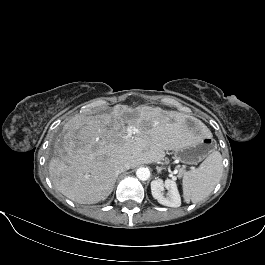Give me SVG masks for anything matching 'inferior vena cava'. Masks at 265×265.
<instances>
[{
	"instance_id": "inferior-vena-cava-1",
	"label": "inferior vena cava",
	"mask_w": 265,
	"mask_h": 265,
	"mask_svg": "<svg viewBox=\"0 0 265 265\" xmlns=\"http://www.w3.org/2000/svg\"><path fill=\"white\" fill-rule=\"evenodd\" d=\"M131 168V164L129 162H124V163H121L120 165H118L117 167V173H122L128 169Z\"/></svg>"
}]
</instances>
